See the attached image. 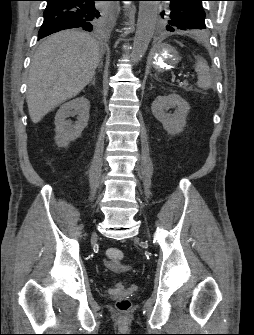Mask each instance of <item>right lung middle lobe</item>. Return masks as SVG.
I'll use <instances>...</instances> for the list:
<instances>
[{
  "label": "right lung middle lobe",
  "mask_w": 254,
  "mask_h": 335,
  "mask_svg": "<svg viewBox=\"0 0 254 335\" xmlns=\"http://www.w3.org/2000/svg\"><path fill=\"white\" fill-rule=\"evenodd\" d=\"M105 11L100 9L97 13H96V17H95V24H97L105 15Z\"/></svg>",
  "instance_id": "right-lung-middle-lobe-1"
}]
</instances>
